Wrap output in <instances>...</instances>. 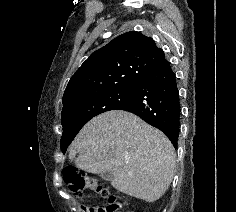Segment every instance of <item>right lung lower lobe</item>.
Returning <instances> with one entry per match:
<instances>
[{
    "mask_svg": "<svg viewBox=\"0 0 236 212\" xmlns=\"http://www.w3.org/2000/svg\"><path fill=\"white\" fill-rule=\"evenodd\" d=\"M116 110L139 116L166 134L177 148L181 107L176 76L164 57L136 85L132 96Z\"/></svg>",
    "mask_w": 236,
    "mask_h": 212,
    "instance_id": "obj_1",
    "label": "right lung lower lobe"
}]
</instances>
